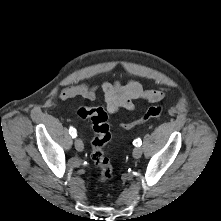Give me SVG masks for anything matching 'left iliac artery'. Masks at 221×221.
I'll return each mask as SVG.
<instances>
[{
	"label": "left iliac artery",
	"mask_w": 221,
	"mask_h": 221,
	"mask_svg": "<svg viewBox=\"0 0 221 221\" xmlns=\"http://www.w3.org/2000/svg\"><path fill=\"white\" fill-rule=\"evenodd\" d=\"M133 144H134L135 146H141V145H142V141H141L140 138H138V139H136V140L133 141Z\"/></svg>",
	"instance_id": "obj_1"
}]
</instances>
